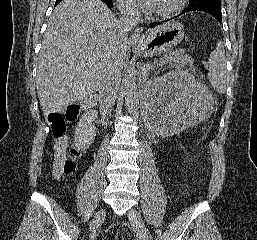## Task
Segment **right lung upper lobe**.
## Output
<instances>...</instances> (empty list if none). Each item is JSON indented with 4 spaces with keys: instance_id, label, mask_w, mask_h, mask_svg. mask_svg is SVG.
Masks as SVG:
<instances>
[{
    "instance_id": "1",
    "label": "right lung upper lobe",
    "mask_w": 257,
    "mask_h": 240,
    "mask_svg": "<svg viewBox=\"0 0 257 240\" xmlns=\"http://www.w3.org/2000/svg\"><path fill=\"white\" fill-rule=\"evenodd\" d=\"M60 1H62V0H57V1H56V4H58ZM106 1H108V0H106Z\"/></svg>"
}]
</instances>
